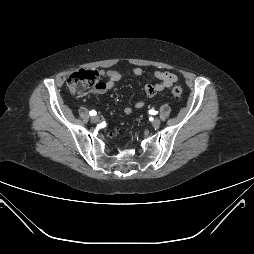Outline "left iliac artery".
<instances>
[{
  "mask_svg": "<svg viewBox=\"0 0 254 254\" xmlns=\"http://www.w3.org/2000/svg\"><path fill=\"white\" fill-rule=\"evenodd\" d=\"M149 113H150L151 115H155V114H157L158 112H157L156 110H154V109H151V110L149 111Z\"/></svg>",
  "mask_w": 254,
  "mask_h": 254,
  "instance_id": "obj_1",
  "label": "left iliac artery"
}]
</instances>
